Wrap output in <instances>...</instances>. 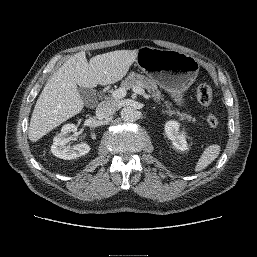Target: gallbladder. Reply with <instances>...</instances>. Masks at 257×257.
Returning <instances> with one entry per match:
<instances>
[{
    "label": "gallbladder",
    "mask_w": 257,
    "mask_h": 257,
    "mask_svg": "<svg viewBox=\"0 0 257 257\" xmlns=\"http://www.w3.org/2000/svg\"><path fill=\"white\" fill-rule=\"evenodd\" d=\"M79 93L82 99L88 103L91 99L95 97V92L93 89H88V88H79Z\"/></svg>",
    "instance_id": "gallbladder-1"
}]
</instances>
